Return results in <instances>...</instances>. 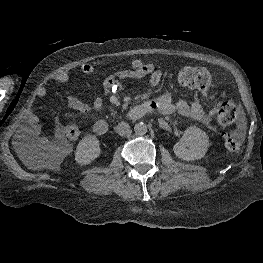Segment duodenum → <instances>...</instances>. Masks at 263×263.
Returning <instances> with one entry per match:
<instances>
[{"label": "duodenum", "instance_id": "duodenum-1", "mask_svg": "<svg viewBox=\"0 0 263 263\" xmlns=\"http://www.w3.org/2000/svg\"><path fill=\"white\" fill-rule=\"evenodd\" d=\"M151 111L149 105L143 103L135 106L128 112V117L137 120ZM93 130L98 135H105L109 131V124L105 120H97L93 125Z\"/></svg>", "mask_w": 263, "mask_h": 263}]
</instances>
